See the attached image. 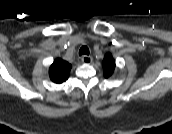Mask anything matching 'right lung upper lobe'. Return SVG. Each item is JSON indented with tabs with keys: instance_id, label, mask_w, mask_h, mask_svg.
I'll list each match as a JSON object with an SVG mask.
<instances>
[{
	"instance_id": "1",
	"label": "right lung upper lobe",
	"mask_w": 172,
	"mask_h": 134,
	"mask_svg": "<svg viewBox=\"0 0 172 134\" xmlns=\"http://www.w3.org/2000/svg\"><path fill=\"white\" fill-rule=\"evenodd\" d=\"M71 65L60 58H57L49 68L50 79L57 84L65 82L70 74Z\"/></svg>"
}]
</instances>
